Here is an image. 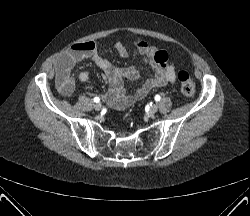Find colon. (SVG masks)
<instances>
[{
    "instance_id": "5ec220e1",
    "label": "colon",
    "mask_w": 250,
    "mask_h": 216,
    "mask_svg": "<svg viewBox=\"0 0 250 216\" xmlns=\"http://www.w3.org/2000/svg\"><path fill=\"white\" fill-rule=\"evenodd\" d=\"M178 80L181 86V92L186 98H192L195 95V84L191 76L186 71L178 73Z\"/></svg>"
}]
</instances>
